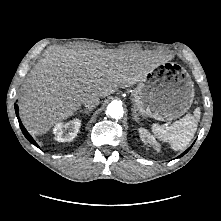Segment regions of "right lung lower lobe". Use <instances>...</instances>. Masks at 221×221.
I'll list each match as a JSON object with an SVG mask.
<instances>
[{
	"mask_svg": "<svg viewBox=\"0 0 221 221\" xmlns=\"http://www.w3.org/2000/svg\"><path fill=\"white\" fill-rule=\"evenodd\" d=\"M15 112H16V115H17V118H18V121H19V125H20V128H21L24 136L28 139L29 142H31L32 144H34L35 146L38 147L37 143L34 141V139L31 137V135L27 132V130L25 129V127L23 126V124L21 123V121L19 119L18 105L17 104H15Z\"/></svg>",
	"mask_w": 221,
	"mask_h": 221,
	"instance_id": "right-lung-lower-lobe-1",
	"label": "right lung lower lobe"
}]
</instances>
